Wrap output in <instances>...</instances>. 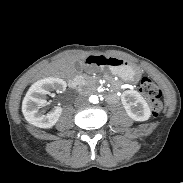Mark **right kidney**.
Here are the masks:
<instances>
[{
    "label": "right kidney",
    "mask_w": 183,
    "mask_h": 183,
    "mask_svg": "<svg viewBox=\"0 0 183 183\" xmlns=\"http://www.w3.org/2000/svg\"><path fill=\"white\" fill-rule=\"evenodd\" d=\"M65 89L66 82L55 77L45 78L34 83L28 90L22 103V112L25 119L36 127H53L59 120L62 108L57 106L47 114H44L39 109L46 103V94L53 90L61 93Z\"/></svg>",
    "instance_id": "obj_1"
}]
</instances>
